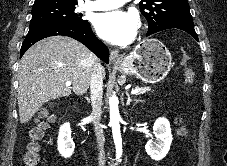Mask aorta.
<instances>
[{
	"label": "aorta",
	"mask_w": 227,
	"mask_h": 166,
	"mask_svg": "<svg viewBox=\"0 0 227 166\" xmlns=\"http://www.w3.org/2000/svg\"><path fill=\"white\" fill-rule=\"evenodd\" d=\"M109 106H110V125L112 127L113 138L116 148V159L119 160L122 156V139L119 125L121 117L118 108V99L115 95H113L109 99Z\"/></svg>",
	"instance_id": "1"
}]
</instances>
